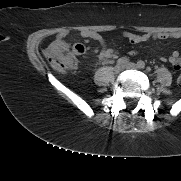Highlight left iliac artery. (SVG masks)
<instances>
[{
	"label": "left iliac artery",
	"instance_id": "44dca946",
	"mask_svg": "<svg viewBox=\"0 0 181 181\" xmlns=\"http://www.w3.org/2000/svg\"><path fill=\"white\" fill-rule=\"evenodd\" d=\"M137 66H138L139 68H144V67H145L144 61H142V60L138 61V62H137Z\"/></svg>",
	"mask_w": 181,
	"mask_h": 181
}]
</instances>
